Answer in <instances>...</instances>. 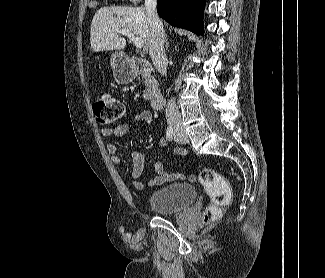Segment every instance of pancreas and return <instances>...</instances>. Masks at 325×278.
<instances>
[{
	"mask_svg": "<svg viewBox=\"0 0 325 278\" xmlns=\"http://www.w3.org/2000/svg\"><path fill=\"white\" fill-rule=\"evenodd\" d=\"M145 90L143 92V97L145 100H149L153 94L159 93L158 83L156 79L148 75L144 78Z\"/></svg>",
	"mask_w": 325,
	"mask_h": 278,
	"instance_id": "pancreas-1",
	"label": "pancreas"
}]
</instances>
